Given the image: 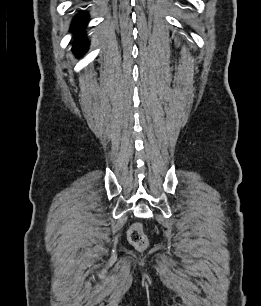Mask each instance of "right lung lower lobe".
I'll return each mask as SVG.
<instances>
[{
    "mask_svg": "<svg viewBox=\"0 0 261 306\" xmlns=\"http://www.w3.org/2000/svg\"><path fill=\"white\" fill-rule=\"evenodd\" d=\"M87 20V13L81 12L79 15L76 16L71 27V31L76 35L73 51L77 55H82L86 51L88 46V42L86 41L85 36L83 35Z\"/></svg>",
    "mask_w": 261,
    "mask_h": 306,
    "instance_id": "obj_1",
    "label": "right lung lower lobe"
}]
</instances>
